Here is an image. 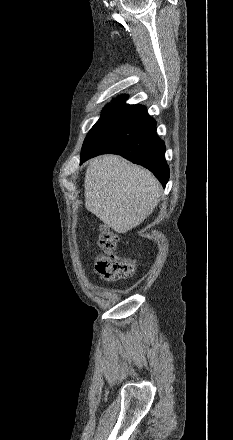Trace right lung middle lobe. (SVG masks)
<instances>
[{
  "label": "right lung middle lobe",
  "instance_id": "dd1d6c3e",
  "mask_svg": "<svg viewBox=\"0 0 233 440\" xmlns=\"http://www.w3.org/2000/svg\"><path fill=\"white\" fill-rule=\"evenodd\" d=\"M123 108L122 105L118 104H107L104 108L101 118L97 121V123L92 127L89 134L94 131L96 128L105 123L108 119H110L114 114H116L119 110ZM88 134V135H89Z\"/></svg>",
  "mask_w": 233,
  "mask_h": 440
}]
</instances>
